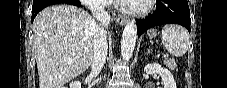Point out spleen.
Wrapping results in <instances>:
<instances>
[{
    "label": "spleen",
    "instance_id": "3e777b00",
    "mask_svg": "<svg viewBox=\"0 0 227 88\" xmlns=\"http://www.w3.org/2000/svg\"><path fill=\"white\" fill-rule=\"evenodd\" d=\"M189 33L179 25L169 24L162 29V43L173 56H183L189 47Z\"/></svg>",
    "mask_w": 227,
    "mask_h": 88
}]
</instances>
